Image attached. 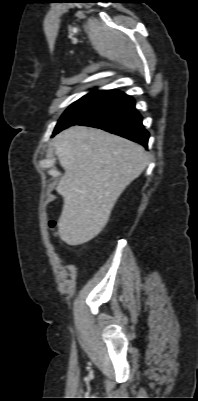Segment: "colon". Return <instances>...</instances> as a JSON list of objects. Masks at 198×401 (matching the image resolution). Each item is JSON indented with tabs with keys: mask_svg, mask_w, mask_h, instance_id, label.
Returning a JSON list of instances; mask_svg holds the SVG:
<instances>
[{
	"mask_svg": "<svg viewBox=\"0 0 198 401\" xmlns=\"http://www.w3.org/2000/svg\"><path fill=\"white\" fill-rule=\"evenodd\" d=\"M50 228L53 229L54 228V224L50 223Z\"/></svg>",
	"mask_w": 198,
	"mask_h": 401,
	"instance_id": "5ec220e1",
	"label": "colon"
}]
</instances>
